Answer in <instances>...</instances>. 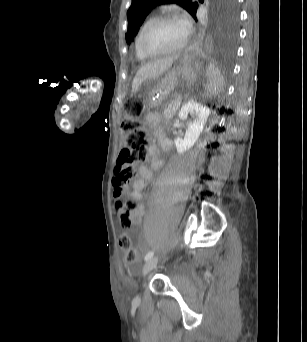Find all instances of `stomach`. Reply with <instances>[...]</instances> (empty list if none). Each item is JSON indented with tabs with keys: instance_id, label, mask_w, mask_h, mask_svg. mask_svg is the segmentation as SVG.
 Segmentation results:
<instances>
[{
	"instance_id": "0dacf381",
	"label": "stomach",
	"mask_w": 307,
	"mask_h": 342,
	"mask_svg": "<svg viewBox=\"0 0 307 342\" xmlns=\"http://www.w3.org/2000/svg\"><path fill=\"white\" fill-rule=\"evenodd\" d=\"M193 79V57L179 56L174 59L173 66L160 76L145 81L139 87L138 93L147 106H157L164 101L181 99Z\"/></svg>"
}]
</instances>
